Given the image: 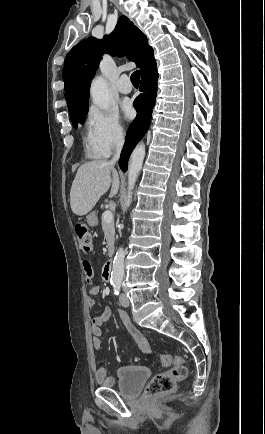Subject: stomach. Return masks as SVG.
<instances>
[{"instance_id": "1", "label": "stomach", "mask_w": 265, "mask_h": 434, "mask_svg": "<svg viewBox=\"0 0 265 434\" xmlns=\"http://www.w3.org/2000/svg\"><path fill=\"white\" fill-rule=\"evenodd\" d=\"M87 220H88L89 224H91V222H96L95 214H89V216H87Z\"/></svg>"}]
</instances>
